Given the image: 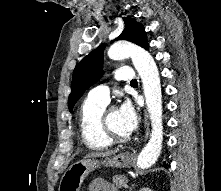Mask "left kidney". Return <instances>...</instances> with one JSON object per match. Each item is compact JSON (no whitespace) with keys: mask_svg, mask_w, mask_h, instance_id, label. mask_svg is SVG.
I'll list each match as a JSON object with an SVG mask.
<instances>
[{"mask_svg":"<svg viewBox=\"0 0 221 191\" xmlns=\"http://www.w3.org/2000/svg\"><path fill=\"white\" fill-rule=\"evenodd\" d=\"M139 191H152V190L149 189V188H142V189H140Z\"/></svg>","mask_w":221,"mask_h":191,"instance_id":"obj_1","label":"left kidney"}]
</instances>
